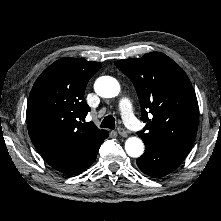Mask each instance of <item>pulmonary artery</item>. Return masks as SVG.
<instances>
[{"instance_id": "1", "label": "pulmonary artery", "mask_w": 221, "mask_h": 221, "mask_svg": "<svg viewBox=\"0 0 221 221\" xmlns=\"http://www.w3.org/2000/svg\"><path fill=\"white\" fill-rule=\"evenodd\" d=\"M119 110L125 124L132 130H139L140 123L134 116L132 104L130 100L126 97L121 98L119 101Z\"/></svg>"}]
</instances>
